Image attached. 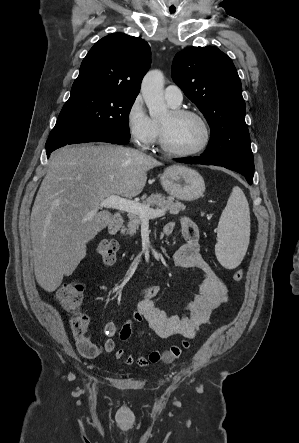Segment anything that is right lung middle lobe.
<instances>
[{
    "instance_id": "right-lung-middle-lobe-1",
    "label": "right lung middle lobe",
    "mask_w": 299,
    "mask_h": 443,
    "mask_svg": "<svg viewBox=\"0 0 299 443\" xmlns=\"http://www.w3.org/2000/svg\"><path fill=\"white\" fill-rule=\"evenodd\" d=\"M136 97L99 89L71 90L48 139L111 132L130 138L129 112Z\"/></svg>"
}]
</instances>
